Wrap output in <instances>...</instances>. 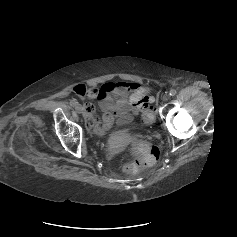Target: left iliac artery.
Masks as SVG:
<instances>
[{
	"instance_id": "1",
	"label": "left iliac artery",
	"mask_w": 237,
	"mask_h": 237,
	"mask_svg": "<svg viewBox=\"0 0 237 237\" xmlns=\"http://www.w3.org/2000/svg\"><path fill=\"white\" fill-rule=\"evenodd\" d=\"M176 93H177V92H176L175 89H171L170 92H169L170 96H175Z\"/></svg>"
}]
</instances>
